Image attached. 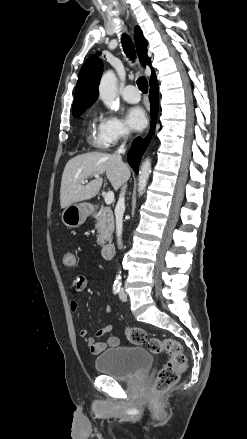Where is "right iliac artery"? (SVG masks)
I'll use <instances>...</instances> for the list:
<instances>
[{"label": "right iliac artery", "instance_id": "right-iliac-artery-1", "mask_svg": "<svg viewBox=\"0 0 247 439\" xmlns=\"http://www.w3.org/2000/svg\"><path fill=\"white\" fill-rule=\"evenodd\" d=\"M121 284L114 283L113 285V293L117 294L120 291Z\"/></svg>", "mask_w": 247, "mask_h": 439}]
</instances>
